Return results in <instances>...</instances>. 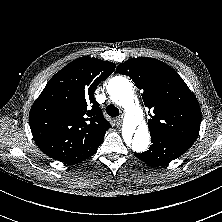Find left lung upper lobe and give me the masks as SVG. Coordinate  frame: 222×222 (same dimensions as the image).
<instances>
[{
    "mask_svg": "<svg viewBox=\"0 0 222 222\" xmlns=\"http://www.w3.org/2000/svg\"><path fill=\"white\" fill-rule=\"evenodd\" d=\"M117 73L128 75L143 91L144 104L151 110L150 134L196 140L201 109L195 95L175 70L160 60L137 57L119 64Z\"/></svg>",
    "mask_w": 222,
    "mask_h": 222,
    "instance_id": "5c2ea615",
    "label": "left lung upper lobe"
}]
</instances>
